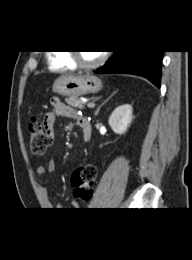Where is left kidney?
I'll return each instance as SVG.
<instances>
[{"label": "left kidney", "mask_w": 192, "mask_h": 260, "mask_svg": "<svg viewBox=\"0 0 192 260\" xmlns=\"http://www.w3.org/2000/svg\"><path fill=\"white\" fill-rule=\"evenodd\" d=\"M132 106L124 104L117 107L109 117V125L117 134H124L132 122Z\"/></svg>", "instance_id": "obj_1"}]
</instances>
